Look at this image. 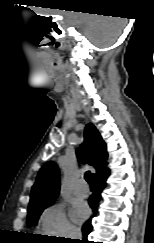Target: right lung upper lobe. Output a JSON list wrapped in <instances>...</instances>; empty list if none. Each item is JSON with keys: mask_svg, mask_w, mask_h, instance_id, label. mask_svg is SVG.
<instances>
[{"mask_svg": "<svg viewBox=\"0 0 154 243\" xmlns=\"http://www.w3.org/2000/svg\"><path fill=\"white\" fill-rule=\"evenodd\" d=\"M84 143L78 148L77 156L80 162L87 163L96 169L93 178L108 171L106 167V144L92 123L85 128ZM60 189L59 170L55 162L49 161L40 169L36 182L32 187L28 208L53 202Z\"/></svg>", "mask_w": 154, "mask_h": 243, "instance_id": "1", "label": "right lung upper lobe"}]
</instances>
